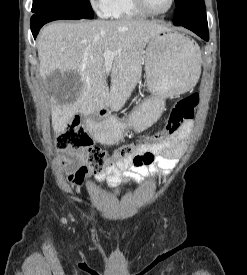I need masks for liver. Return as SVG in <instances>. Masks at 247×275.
Returning a JSON list of instances; mask_svg holds the SVG:
<instances>
[{"mask_svg":"<svg viewBox=\"0 0 247 275\" xmlns=\"http://www.w3.org/2000/svg\"><path fill=\"white\" fill-rule=\"evenodd\" d=\"M168 30L160 23L142 19L54 22L44 27L37 41L42 79L55 71H73L81 83L64 102L52 98L54 132H63L76 113L88 116L105 107L119 111L141 77L146 44ZM106 50L117 53L110 71L103 57Z\"/></svg>","mask_w":247,"mask_h":275,"instance_id":"1","label":"liver"}]
</instances>
